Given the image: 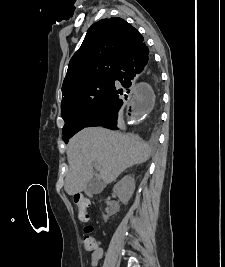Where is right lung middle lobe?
Wrapping results in <instances>:
<instances>
[{"mask_svg":"<svg viewBox=\"0 0 225 267\" xmlns=\"http://www.w3.org/2000/svg\"><path fill=\"white\" fill-rule=\"evenodd\" d=\"M113 85L114 75H108L87 81L63 94L61 115L65 121L62 131L65 143L86 127L106 101Z\"/></svg>","mask_w":225,"mask_h":267,"instance_id":"obj_1","label":"right lung middle lobe"}]
</instances>
